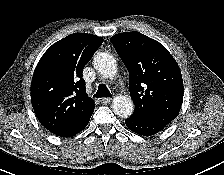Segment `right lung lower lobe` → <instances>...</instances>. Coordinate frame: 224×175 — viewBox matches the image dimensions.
I'll return each mask as SVG.
<instances>
[{"mask_svg": "<svg viewBox=\"0 0 224 175\" xmlns=\"http://www.w3.org/2000/svg\"><path fill=\"white\" fill-rule=\"evenodd\" d=\"M91 115L81 121H77L76 123L64 128L60 131L55 132V134L58 136H61V137H69V136H73V135L79 133L89 123Z\"/></svg>", "mask_w": 224, "mask_h": 175, "instance_id": "1", "label": "right lung lower lobe"}]
</instances>
